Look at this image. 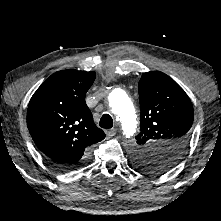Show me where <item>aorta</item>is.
<instances>
[{"instance_id":"1","label":"aorta","mask_w":221,"mask_h":221,"mask_svg":"<svg viewBox=\"0 0 221 221\" xmlns=\"http://www.w3.org/2000/svg\"><path fill=\"white\" fill-rule=\"evenodd\" d=\"M111 112L120 121L123 135L132 137L137 129V115L133 103L127 93L122 89H114L109 94Z\"/></svg>"}]
</instances>
